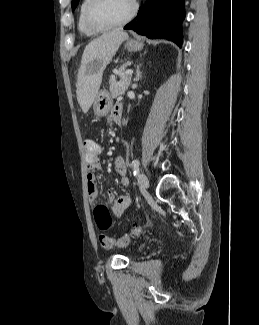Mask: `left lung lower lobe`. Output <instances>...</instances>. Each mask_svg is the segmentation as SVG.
Returning a JSON list of instances; mask_svg holds the SVG:
<instances>
[{"label": "left lung lower lobe", "instance_id": "obj_1", "mask_svg": "<svg viewBox=\"0 0 259 325\" xmlns=\"http://www.w3.org/2000/svg\"><path fill=\"white\" fill-rule=\"evenodd\" d=\"M184 0H147L137 17L124 29H131L151 39L164 38L182 45Z\"/></svg>", "mask_w": 259, "mask_h": 325}]
</instances>
